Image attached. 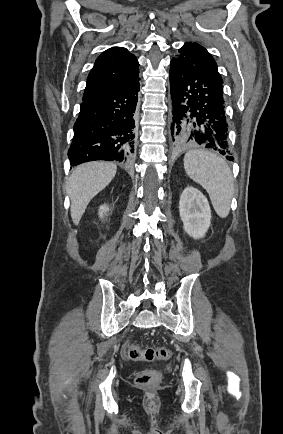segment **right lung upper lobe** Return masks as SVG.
<instances>
[{
	"label": "right lung upper lobe",
	"mask_w": 283,
	"mask_h": 434,
	"mask_svg": "<svg viewBox=\"0 0 283 434\" xmlns=\"http://www.w3.org/2000/svg\"><path fill=\"white\" fill-rule=\"evenodd\" d=\"M138 67L136 57L126 48H109L96 59L88 75L82 100L132 84L138 78Z\"/></svg>",
	"instance_id": "right-lung-upper-lobe-1"
}]
</instances>
